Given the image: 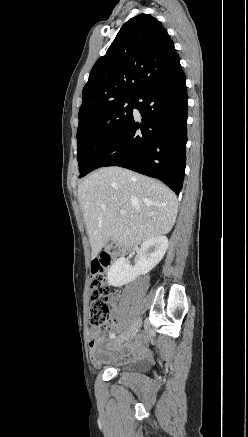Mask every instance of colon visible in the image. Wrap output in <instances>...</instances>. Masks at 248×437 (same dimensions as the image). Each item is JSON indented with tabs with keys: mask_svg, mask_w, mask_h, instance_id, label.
I'll list each match as a JSON object with an SVG mask.
<instances>
[{
	"mask_svg": "<svg viewBox=\"0 0 248 437\" xmlns=\"http://www.w3.org/2000/svg\"><path fill=\"white\" fill-rule=\"evenodd\" d=\"M109 264L104 255L91 262L90 322L93 326H102L110 319L107 302L109 290L106 281V268Z\"/></svg>",
	"mask_w": 248,
	"mask_h": 437,
	"instance_id": "colon-1",
	"label": "colon"
}]
</instances>
